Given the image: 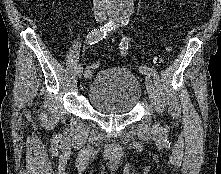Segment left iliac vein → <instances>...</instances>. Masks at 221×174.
Wrapping results in <instances>:
<instances>
[{
    "mask_svg": "<svg viewBox=\"0 0 221 174\" xmlns=\"http://www.w3.org/2000/svg\"><path fill=\"white\" fill-rule=\"evenodd\" d=\"M145 85H146V89H147L150 99L153 100L154 99L153 83H152V79L150 75L148 74H146L145 76ZM157 127H158V124H154V128H157Z\"/></svg>",
    "mask_w": 221,
    "mask_h": 174,
    "instance_id": "1",
    "label": "left iliac vein"
}]
</instances>
